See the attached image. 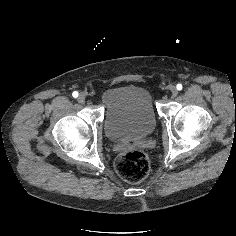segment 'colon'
<instances>
[{
  "mask_svg": "<svg viewBox=\"0 0 236 236\" xmlns=\"http://www.w3.org/2000/svg\"><path fill=\"white\" fill-rule=\"evenodd\" d=\"M115 170L117 174L127 182H140L149 173V158L141 151L134 150L124 152L117 158Z\"/></svg>",
  "mask_w": 236,
  "mask_h": 236,
  "instance_id": "5ec220e1",
  "label": "colon"
}]
</instances>
